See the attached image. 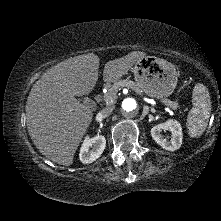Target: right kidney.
Segmentation results:
<instances>
[{"instance_id":"obj_1","label":"right kidney","mask_w":221,"mask_h":221,"mask_svg":"<svg viewBox=\"0 0 221 221\" xmlns=\"http://www.w3.org/2000/svg\"><path fill=\"white\" fill-rule=\"evenodd\" d=\"M106 146V139L102 135L92 138L86 137L80 148L79 158L83 164H89L98 159Z\"/></svg>"}]
</instances>
